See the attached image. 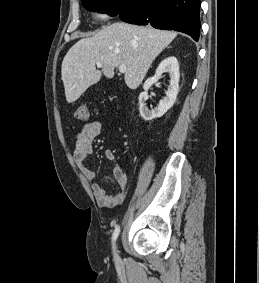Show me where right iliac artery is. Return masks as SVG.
<instances>
[{
	"label": "right iliac artery",
	"mask_w": 259,
	"mask_h": 283,
	"mask_svg": "<svg viewBox=\"0 0 259 283\" xmlns=\"http://www.w3.org/2000/svg\"><path fill=\"white\" fill-rule=\"evenodd\" d=\"M119 232H120V227L119 225H116L115 230L113 232V236H112L113 242L117 239Z\"/></svg>",
	"instance_id": "obj_1"
}]
</instances>
